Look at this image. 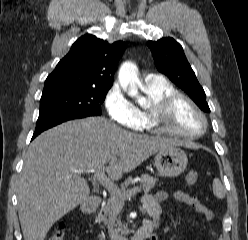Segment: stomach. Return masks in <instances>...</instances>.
<instances>
[{"label": "stomach", "mask_w": 248, "mask_h": 240, "mask_svg": "<svg viewBox=\"0 0 248 240\" xmlns=\"http://www.w3.org/2000/svg\"><path fill=\"white\" fill-rule=\"evenodd\" d=\"M188 164L186 153L178 148L172 147L162 150L155 156V165L163 177H177L184 172Z\"/></svg>", "instance_id": "stomach-1"}]
</instances>
